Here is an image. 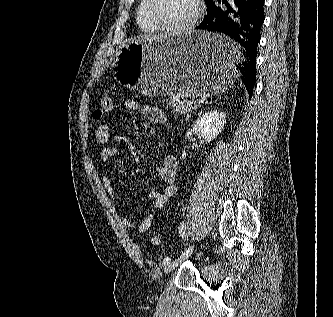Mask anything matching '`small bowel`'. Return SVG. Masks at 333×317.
I'll return each mask as SVG.
<instances>
[{
	"label": "small bowel",
	"instance_id": "1",
	"mask_svg": "<svg viewBox=\"0 0 333 317\" xmlns=\"http://www.w3.org/2000/svg\"><path fill=\"white\" fill-rule=\"evenodd\" d=\"M124 107L128 111H141L148 120L163 123L167 121V115L155 106H140L134 100H127ZM95 140L98 144L104 145L101 152V160L107 162L118 153V149L110 145V127L108 124H100L95 132ZM157 173L164 182L162 191L152 190L149 193V198L152 200V208L148 215L139 223L135 224L125 215H121V221L124 226L135 228L138 233H144L149 230L155 218L156 212L166 206V204L177 194L176 176H177V161L174 156L167 155L163 158L161 164L157 167ZM103 186L107 193L112 197H116L115 188L110 176L103 178Z\"/></svg>",
	"mask_w": 333,
	"mask_h": 317
}]
</instances>
